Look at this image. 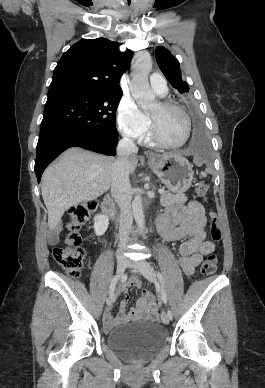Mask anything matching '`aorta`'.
<instances>
[{"mask_svg": "<svg viewBox=\"0 0 265 388\" xmlns=\"http://www.w3.org/2000/svg\"><path fill=\"white\" fill-rule=\"evenodd\" d=\"M152 68L151 56L147 52H139L132 65V80L130 90L138 105L142 109L152 107L155 101V95L150 89L148 75ZM132 211L135 222L140 231L144 230L145 216L142 207V198L135 196L132 202Z\"/></svg>", "mask_w": 265, "mask_h": 388, "instance_id": "762f6f07", "label": "aorta"}]
</instances>
